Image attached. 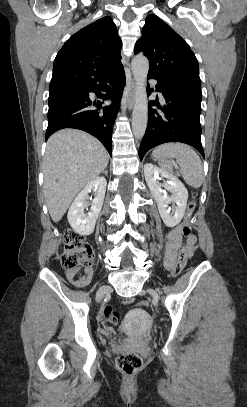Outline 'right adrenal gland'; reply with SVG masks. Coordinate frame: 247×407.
Listing matches in <instances>:
<instances>
[{
  "label": "right adrenal gland",
  "instance_id": "right-adrenal-gland-1",
  "mask_svg": "<svg viewBox=\"0 0 247 407\" xmlns=\"http://www.w3.org/2000/svg\"><path fill=\"white\" fill-rule=\"evenodd\" d=\"M106 176H107V174H108V171L107 170H105L104 172H103Z\"/></svg>",
  "mask_w": 247,
  "mask_h": 407
}]
</instances>
